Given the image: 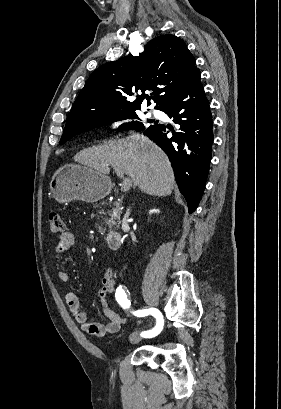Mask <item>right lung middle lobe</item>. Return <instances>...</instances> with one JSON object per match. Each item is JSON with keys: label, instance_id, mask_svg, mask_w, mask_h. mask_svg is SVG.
Returning a JSON list of instances; mask_svg holds the SVG:
<instances>
[{"label": "right lung middle lobe", "instance_id": "1", "mask_svg": "<svg viewBox=\"0 0 281 409\" xmlns=\"http://www.w3.org/2000/svg\"><path fill=\"white\" fill-rule=\"evenodd\" d=\"M125 119H139L137 114L134 111H129V112H123L111 117H108L106 119L97 121L95 123H92L90 125L84 126V127H71V128H65L63 131L62 138L60 140V144H63L70 140L72 137H74L77 134H80L82 132L88 131L90 129H93L95 127L107 125L116 121L120 120H125Z\"/></svg>", "mask_w": 281, "mask_h": 409}]
</instances>
